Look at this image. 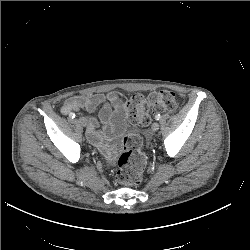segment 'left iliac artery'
Here are the masks:
<instances>
[{"label": "left iliac artery", "instance_id": "1", "mask_svg": "<svg viewBox=\"0 0 250 250\" xmlns=\"http://www.w3.org/2000/svg\"><path fill=\"white\" fill-rule=\"evenodd\" d=\"M160 118H161L160 114H158V115L155 116L156 120H160Z\"/></svg>", "mask_w": 250, "mask_h": 250}]
</instances>
